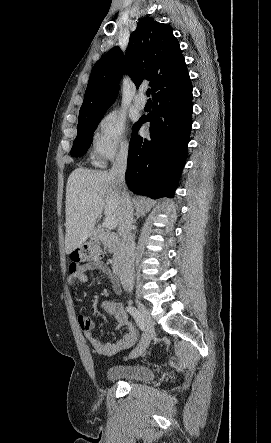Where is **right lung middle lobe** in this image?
<instances>
[{
    "label": "right lung middle lobe",
    "instance_id": "dd1d6c3e",
    "mask_svg": "<svg viewBox=\"0 0 271 443\" xmlns=\"http://www.w3.org/2000/svg\"><path fill=\"white\" fill-rule=\"evenodd\" d=\"M102 116L81 118L78 121L77 137L74 140L71 149V156L78 157L83 155L90 147L93 133L100 122Z\"/></svg>",
    "mask_w": 271,
    "mask_h": 443
}]
</instances>
